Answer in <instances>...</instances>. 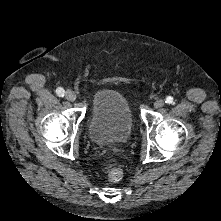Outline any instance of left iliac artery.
I'll return each instance as SVG.
<instances>
[{"label": "left iliac artery", "instance_id": "1", "mask_svg": "<svg viewBox=\"0 0 221 221\" xmlns=\"http://www.w3.org/2000/svg\"><path fill=\"white\" fill-rule=\"evenodd\" d=\"M165 102H166L167 104H171V103L173 102V97L168 96V97L166 98Z\"/></svg>", "mask_w": 221, "mask_h": 221}]
</instances>
